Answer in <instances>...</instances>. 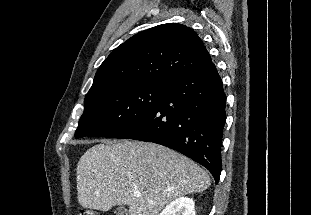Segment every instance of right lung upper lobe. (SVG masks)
<instances>
[{
	"instance_id": "1",
	"label": "right lung upper lobe",
	"mask_w": 311,
	"mask_h": 215,
	"mask_svg": "<svg viewBox=\"0 0 311 215\" xmlns=\"http://www.w3.org/2000/svg\"><path fill=\"white\" fill-rule=\"evenodd\" d=\"M212 63L197 33L177 23L142 31L114 49L98 68L86 96L97 91L168 81Z\"/></svg>"
}]
</instances>
